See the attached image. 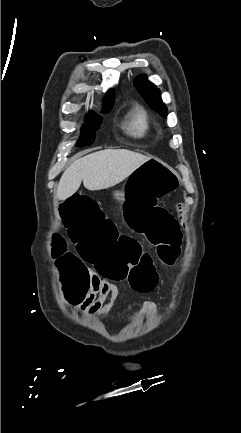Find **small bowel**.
<instances>
[{"label": "small bowel", "mask_w": 241, "mask_h": 433, "mask_svg": "<svg viewBox=\"0 0 241 433\" xmlns=\"http://www.w3.org/2000/svg\"><path fill=\"white\" fill-rule=\"evenodd\" d=\"M133 172H136V170ZM179 219L180 224L178 226L181 227L184 225L182 207L179 208ZM88 269L91 272V291L87 292L84 305H77L76 308L79 312L89 316H104L108 314L114 306L119 295V288L115 283L102 278L98 272H95L91 268ZM156 308V304L153 301L145 300L140 310L131 317V320L140 321L145 318H150L156 313Z\"/></svg>", "instance_id": "c3829d8e"}]
</instances>
